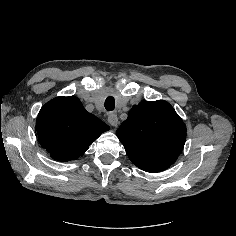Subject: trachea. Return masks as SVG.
<instances>
[{
    "label": "trachea",
    "mask_w": 236,
    "mask_h": 236,
    "mask_svg": "<svg viewBox=\"0 0 236 236\" xmlns=\"http://www.w3.org/2000/svg\"><path fill=\"white\" fill-rule=\"evenodd\" d=\"M105 109L108 110V111H112L115 107V100L113 97H108L106 100H105Z\"/></svg>",
    "instance_id": "1"
}]
</instances>
